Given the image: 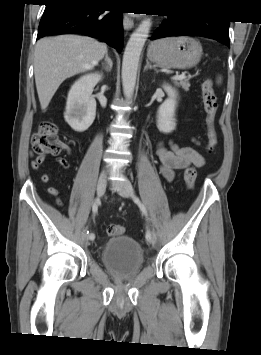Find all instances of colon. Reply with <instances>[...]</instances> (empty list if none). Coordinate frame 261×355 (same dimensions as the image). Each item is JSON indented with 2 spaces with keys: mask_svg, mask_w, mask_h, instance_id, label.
I'll return each instance as SVG.
<instances>
[{
  "mask_svg": "<svg viewBox=\"0 0 261 355\" xmlns=\"http://www.w3.org/2000/svg\"><path fill=\"white\" fill-rule=\"evenodd\" d=\"M202 99L206 114L207 148L212 151L218 142L215 129V119L218 109L217 97L214 91L212 80H206L202 85ZM64 143L58 137L57 128L49 122H44L32 137V149L40 158L58 156L64 150ZM184 181L188 188H192L197 178L194 167H188L183 174ZM124 232V227L119 224L110 225L107 228L108 236H119Z\"/></svg>",
  "mask_w": 261,
  "mask_h": 355,
  "instance_id": "5ec220e1",
  "label": "colon"
}]
</instances>
